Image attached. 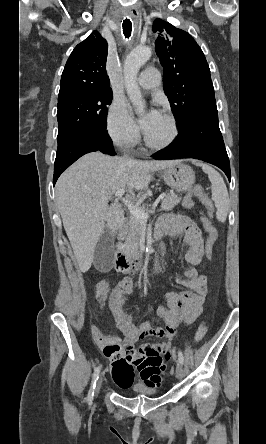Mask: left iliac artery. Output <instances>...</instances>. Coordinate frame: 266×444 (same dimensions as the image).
Wrapping results in <instances>:
<instances>
[{"instance_id": "obj_1", "label": "left iliac artery", "mask_w": 266, "mask_h": 444, "mask_svg": "<svg viewBox=\"0 0 266 444\" xmlns=\"http://www.w3.org/2000/svg\"><path fill=\"white\" fill-rule=\"evenodd\" d=\"M178 360L180 363H184V357L181 351L178 352Z\"/></svg>"}]
</instances>
